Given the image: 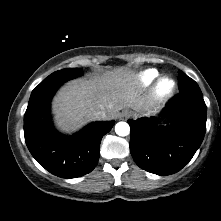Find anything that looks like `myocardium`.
I'll list each match as a JSON object with an SVG mask.
<instances>
[{
	"label": "myocardium",
	"instance_id": "myocardium-1",
	"mask_svg": "<svg viewBox=\"0 0 221 221\" xmlns=\"http://www.w3.org/2000/svg\"><path fill=\"white\" fill-rule=\"evenodd\" d=\"M165 82L169 83L168 88H163ZM176 90V82L169 76H161L154 85L153 94L156 100L163 102L168 100Z\"/></svg>",
	"mask_w": 221,
	"mask_h": 221
}]
</instances>
